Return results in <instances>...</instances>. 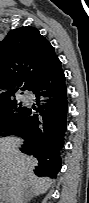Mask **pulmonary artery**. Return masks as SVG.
Returning a JSON list of instances; mask_svg holds the SVG:
<instances>
[{"label": "pulmonary artery", "instance_id": "1", "mask_svg": "<svg viewBox=\"0 0 89 203\" xmlns=\"http://www.w3.org/2000/svg\"><path fill=\"white\" fill-rule=\"evenodd\" d=\"M26 99H27L26 96H22L23 101H26Z\"/></svg>", "mask_w": 89, "mask_h": 203}]
</instances>
